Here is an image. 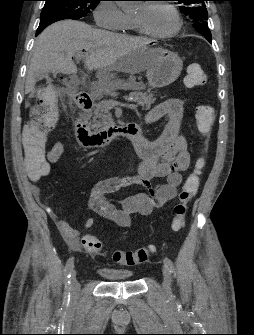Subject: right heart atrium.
Returning a JSON list of instances; mask_svg holds the SVG:
<instances>
[{"label": "right heart atrium", "instance_id": "right-heart-atrium-1", "mask_svg": "<svg viewBox=\"0 0 254 335\" xmlns=\"http://www.w3.org/2000/svg\"><path fill=\"white\" fill-rule=\"evenodd\" d=\"M94 19L98 26L109 30L127 29L130 18L114 1H101L94 10Z\"/></svg>", "mask_w": 254, "mask_h": 335}]
</instances>
